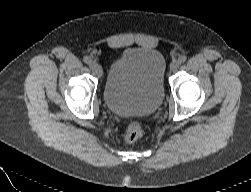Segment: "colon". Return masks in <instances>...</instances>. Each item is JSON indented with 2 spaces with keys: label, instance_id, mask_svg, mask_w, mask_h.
<instances>
[{
  "label": "colon",
  "instance_id": "obj_1",
  "mask_svg": "<svg viewBox=\"0 0 251 192\" xmlns=\"http://www.w3.org/2000/svg\"><path fill=\"white\" fill-rule=\"evenodd\" d=\"M143 135L141 124L138 121H132L124 132V139L129 142H135Z\"/></svg>",
  "mask_w": 251,
  "mask_h": 192
}]
</instances>
